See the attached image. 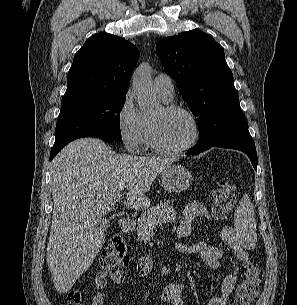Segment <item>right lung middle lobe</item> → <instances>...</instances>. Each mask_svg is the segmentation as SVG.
Segmentation results:
<instances>
[{"mask_svg":"<svg viewBox=\"0 0 297 305\" xmlns=\"http://www.w3.org/2000/svg\"><path fill=\"white\" fill-rule=\"evenodd\" d=\"M125 95L84 96L62 101L53 148L82 137L121 141L120 112Z\"/></svg>","mask_w":297,"mask_h":305,"instance_id":"obj_1","label":"right lung middle lobe"}]
</instances>
